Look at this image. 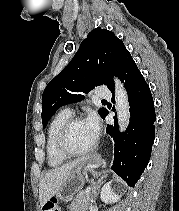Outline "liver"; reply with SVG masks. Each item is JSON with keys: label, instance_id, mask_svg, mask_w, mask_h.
I'll use <instances>...</instances> for the list:
<instances>
[{"label": "liver", "instance_id": "6515ba94", "mask_svg": "<svg viewBox=\"0 0 179 211\" xmlns=\"http://www.w3.org/2000/svg\"><path fill=\"white\" fill-rule=\"evenodd\" d=\"M85 160V158L74 160L63 166L50 170L45 174L39 185V200L41 207H43L52 196L57 194L70 173L74 169L82 167Z\"/></svg>", "mask_w": 179, "mask_h": 211}]
</instances>
